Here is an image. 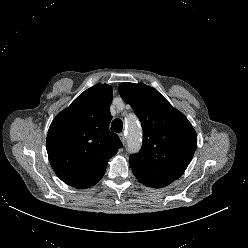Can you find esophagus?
Wrapping results in <instances>:
<instances>
[{
  "label": "esophagus",
  "instance_id": "obj_1",
  "mask_svg": "<svg viewBox=\"0 0 248 248\" xmlns=\"http://www.w3.org/2000/svg\"><path fill=\"white\" fill-rule=\"evenodd\" d=\"M119 138H120V140H121V142L123 143V144H125V142H126V137H125V133H120L119 134Z\"/></svg>",
  "mask_w": 248,
  "mask_h": 248
}]
</instances>
